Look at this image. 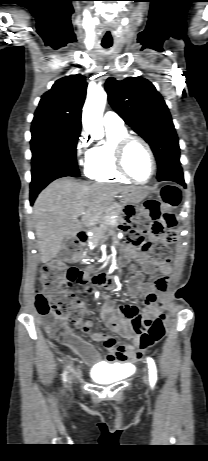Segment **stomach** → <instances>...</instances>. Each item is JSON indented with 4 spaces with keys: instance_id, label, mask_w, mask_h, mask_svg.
Wrapping results in <instances>:
<instances>
[{
    "instance_id": "stomach-1",
    "label": "stomach",
    "mask_w": 208,
    "mask_h": 461,
    "mask_svg": "<svg viewBox=\"0 0 208 461\" xmlns=\"http://www.w3.org/2000/svg\"><path fill=\"white\" fill-rule=\"evenodd\" d=\"M148 195V191L144 188H136L135 190L123 194V202L125 204H138L140 203L146 196Z\"/></svg>"
}]
</instances>
